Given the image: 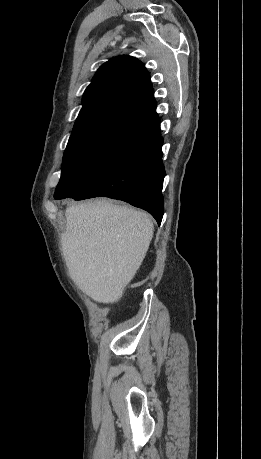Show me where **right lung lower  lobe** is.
<instances>
[{"label":"right lung lower lobe","instance_id":"1","mask_svg":"<svg viewBox=\"0 0 261 459\" xmlns=\"http://www.w3.org/2000/svg\"><path fill=\"white\" fill-rule=\"evenodd\" d=\"M160 133L157 125L136 148L70 198L105 196L123 200L148 211L160 225L164 213L162 187L165 176Z\"/></svg>","mask_w":261,"mask_h":459}]
</instances>
